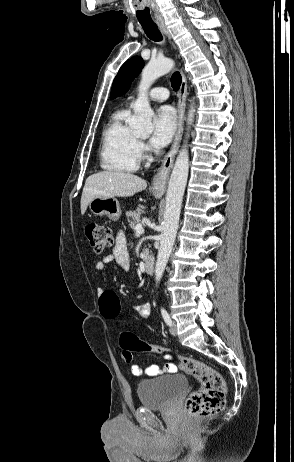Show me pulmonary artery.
<instances>
[{
	"instance_id": "obj_1",
	"label": "pulmonary artery",
	"mask_w": 294,
	"mask_h": 462,
	"mask_svg": "<svg viewBox=\"0 0 294 462\" xmlns=\"http://www.w3.org/2000/svg\"><path fill=\"white\" fill-rule=\"evenodd\" d=\"M150 99L164 101L169 97V90L165 87H155L148 92Z\"/></svg>"
}]
</instances>
